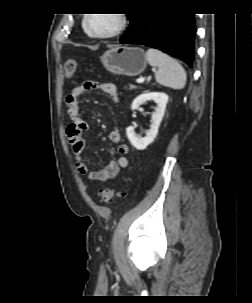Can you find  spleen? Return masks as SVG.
Listing matches in <instances>:
<instances>
[{
	"label": "spleen",
	"instance_id": "1",
	"mask_svg": "<svg viewBox=\"0 0 252 303\" xmlns=\"http://www.w3.org/2000/svg\"><path fill=\"white\" fill-rule=\"evenodd\" d=\"M146 59L151 66L158 68L155 73L157 83L176 90L184 88L186 73L178 61L153 48L147 50Z\"/></svg>",
	"mask_w": 252,
	"mask_h": 303
}]
</instances>
